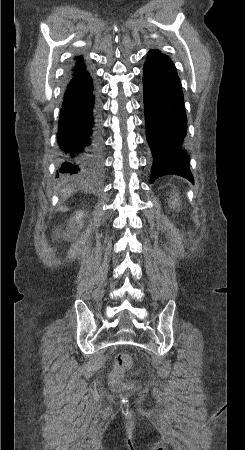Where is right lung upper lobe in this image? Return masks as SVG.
Returning <instances> with one entry per match:
<instances>
[{"mask_svg": "<svg viewBox=\"0 0 245 450\" xmlns=\"http://www.w3.org/2000/svg\"><path fill=\"white\" fill-rule=\"evenodd\" d=\"M82 59V57H77L76 58V65L71 69L70 75H74L76 73H78L79 71L84 69V66L82 63H80V60Z\"/></svg>", "mask_w": 245, "mask_h": 450, "instance_id": "right-lung-upper-lobe-1", "label": "right lung upper lobe"}]
</instances>
